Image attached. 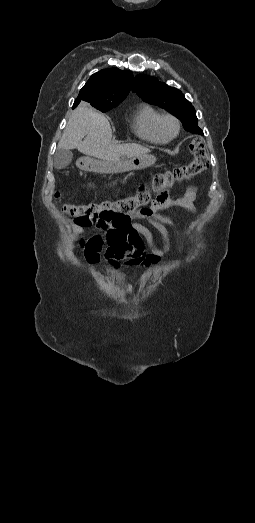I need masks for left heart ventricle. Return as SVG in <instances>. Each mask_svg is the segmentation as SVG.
Returning <instances> with one entry per match:
<instances>
[{
    "instance_id": "b2bd125f",
    "label": "left heart ventricle",
    "mask_w": 255,
    "mask_h": 523,
    "mask_svg": "<svg viewBox=\"0 0 255 523\" xmlns=\"http://www.w3.org/2000/svg\"><path fill=\"white\" fill-rule=\"evenodd\" d=\"M166 129H167V132H168L169 134H171V133L174 132V128H173V126H172L171 124H168L167 127H166Z\"/></svg>"
}]
</instances>
